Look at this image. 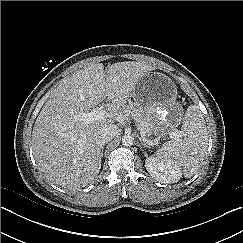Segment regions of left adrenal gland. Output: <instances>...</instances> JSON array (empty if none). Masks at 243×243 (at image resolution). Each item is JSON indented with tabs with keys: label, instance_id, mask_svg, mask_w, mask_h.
Here are the masks:
<instances>
[{
	"label": "left adrenal gland",
	"instance_id": "a2214340",
	"mask_svg": "<svg viewBox=\"0 0 243 243\" xmlns=\"http://www.w3.org/2000/svg\"><path fill=\"white\" fill-rule=\"evenodd\" d=\"M141 141V145L142 146H144V147H146V148H150L146 143H144L142 140H140Z\"/></svg>",
	"mask_w": 243,
	"mask_h": 243
}]
</instances>
